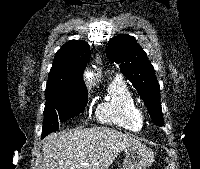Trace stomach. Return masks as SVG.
Here are the masks:
<instances>
[{
  "label": "stomach",
  "mask_w": 200,
  "mask_h": 169,
  "mask_svg": "<svg viewBox=\"0 0 200 169\" xmlns=\"http://www.w3.org/2000/svg\"><path fill=\"white\" fill-rule=\"evenodd\" d=\"M154 162V153L144 145L130 146L126 149V156L122 169H147Z\"/></svg>",
  "instance_id": "obj_1"
}]
</instances>
